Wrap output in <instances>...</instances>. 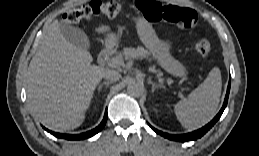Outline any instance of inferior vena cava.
I'll return each instance as SVG.
<instances>
[{
	"instance_id": "inferior-vena-cava-1",
	"label": "inferior vena cava",
	"mask_w": 259,
	"mask_h": 156,
	"mask_svg": "<svg viewBox=\"0 0 259 156\" xmlns=\"http://www.w3.org/2000/svg\"><path fill=\"white\" fill-rule=\"evenodd\" d=\"M103 77L108 81L113 82L119 80L121 78V75L115 70H107L104 73Z\"/></svg>"
}]
</instances>
